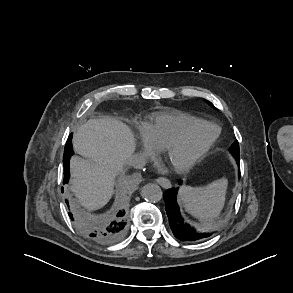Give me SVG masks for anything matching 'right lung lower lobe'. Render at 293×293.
Instances as JSON below:
<instances>
[{"instance_id":"1","label":"right lung lower lobe","mask_w":293,"mask_h":293,"mask_svg":"<svg viewBox=\"0 0 293 293\" xmlns=\"http://www.w3.org/2000/svg\"><path fill=\"white\" fill-rule=\"evenodd\" d=\"M72 134L69 136L65 145L63 164H64V181L68 183L70 177L69 160L73 155L72 149ZM68 205V200H66ZM125 211L120 210L118 214L110 220H105L100 223H94L85 219H79V225L86 235L93 241L100 244H112L121 240L127 231V220L124 217ZM73 220V216L69 213Z\"/></svg>"}]
</instances>
